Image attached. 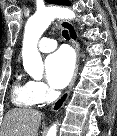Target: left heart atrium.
<instances>
[{"label": "left heart atrium", "instance_id": "left-heart-atrium-1", "mask_svg": "<svg viewBox=\"0 0 117 136\" xmlns=\"http://www.w3.org/2000/svg\"><path fill=\"white\" fill-rule=\"evenodd\" d=\"M75 67V59L68 48H60L46 60L47 79L56 89L64 88L70 81Z\"/></svg>", "mask_w": 117, "mask_h": 136}]
</instances>
